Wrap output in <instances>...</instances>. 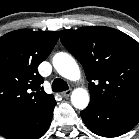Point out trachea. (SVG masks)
I'll list each match as a JSON object with an SVG mask.
<instances>
[{
  "mask_svg": "<svg viewBox=\"0 0 139 139\" xmlns=\"http://www.w3.org/2000/svg\"><path fill=\"white\" fill-rule=\"evenodd\" d=\"M53 92H62L68 90V84L63 79L57 78L52 83Z\"/></svg>",
  "mask_w": 139,
  "mask_h": 139,
  "instance_id": "1",
  "label": "trachea"
}]
</instances>
